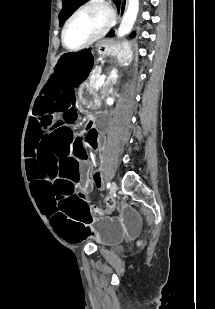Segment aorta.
I'll use <instances>...</instances> for the list:
<instances>
[{
  "instance_id": "1",
  "label": "aorta",
  "mask_w": 215,
  "mask_h": 309,
  "mask_svg": "<svg viewBox=\"0 0 215 309\" xmlns=\"http://www.w3.org/2000/svg\"><path fill=\"white\" fill-rule=\"evenodd\" d=\"M138 10L139 0H128L127 10L118 28V36H124V34H128V32H130L136 20Z\"/></svg>"
}]
</instances>
